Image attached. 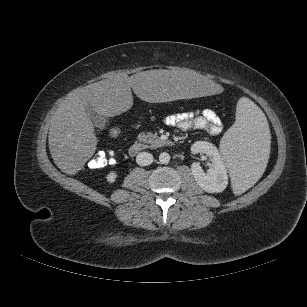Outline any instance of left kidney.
Here are the masks:
<instances>
[{
    "instance_id": "5707ae66",
    "label": "left kidney",
    "mask_w": 307,
    "mask_h": 307,
    "mask_svg": "<svg viewBox=\"0 0 307 307\" xmlns=\"http://www.w3.org/2000/svg\"><path fill=\"white\" fill-rule=\"evenodd\" d=\"M191 152L206 154L212 162L207 172L198 162L192 163L191 171L198 185L208 193L224 191L228 185V174L217 147L207 141H197L191 146Z\"/></svg>"
}]
</instances>
